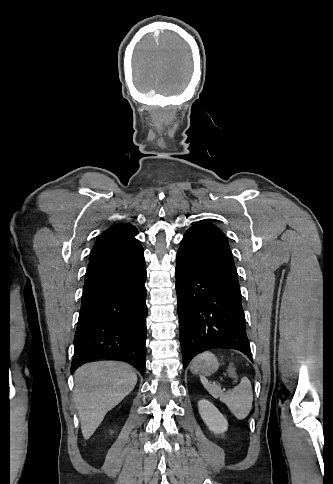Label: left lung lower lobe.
<instances>
[{"instance_id": "1", "label": "left lung lower lobe", "mask_w": 333, "mask_h": 484, "mask_svg": "<svg viewBox=\"0 0 333 484\" xmlns=\"http://www.w3.org/2000/svg\"><path fill=\"white\" fill-rule=\"evenodd\" d=\"M176 262L184 368L197 354L215 348L239 350L252 361L237 271L223 232L206 221L194 224Z\"/></svg>"}]
</instances>
